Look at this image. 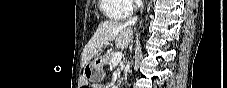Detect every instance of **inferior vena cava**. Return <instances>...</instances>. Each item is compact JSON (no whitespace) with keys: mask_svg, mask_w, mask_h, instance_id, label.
I'll return each mask as SVG.
<instances>
[{"mask_svg":"<svg viewBox=\"0 0 227 88\" xmlns=\"http://www.w3.org/2000/svg\"><path fill=\"white\" fill-rule=\"evenodd\" d=\"M136 22H137V17H132V18L128 19V20L125 22L124 25H125L126 27H129V26L135 25ZM130 50H132V45L130 46Z\"/></svg>","mask_w":227,"mask_h":88,"instance_id":"1","label":"inferior vena cava"}]
</instances>
